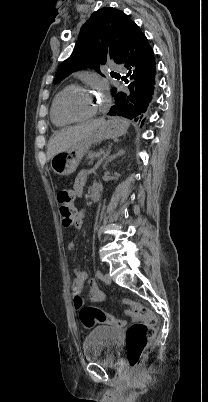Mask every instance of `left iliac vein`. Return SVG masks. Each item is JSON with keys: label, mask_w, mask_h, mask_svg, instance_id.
<instances>
[{"label": "left iliac vein", "mask_w": 208, "mask_h": 402, "mask_svg": "<svg viewBox=\"0 0 208 402\" xmlns=\"http://www.w3.org/2000/svg\"><path fill=\"white\" fill-rule=\"evenodd\" d=\"M102 279H103V282H104L106 285L111 284V278H110V276H109L107 273L103 275Z\"/></svg>", "instance_id": "4c4485c4"}]
</instances>
